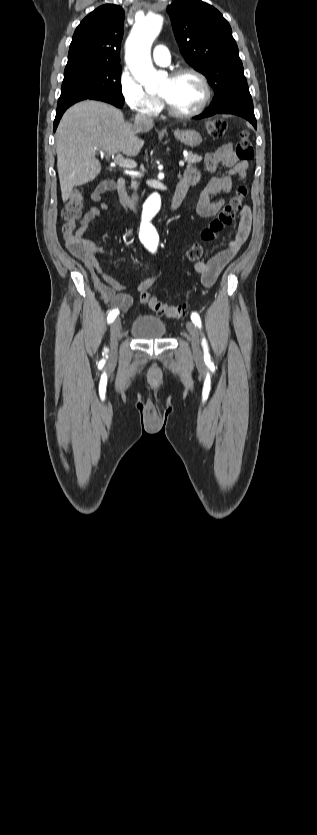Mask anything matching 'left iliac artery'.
<instances>
[{
    "label": "left iliac artery",
    "mask_w": 317,
    "mask_h": 835,
    "mask_svg": "<svg viewBox=\"0 0 317 835\" xmlns=\"http://www.w3.org/2000/svg\"><path fill=\"white\" fill-rule=\"evenodd\" d=\"M191 319H192L193 323L198 328H201V319H200V316L198 315L197 312H193L191 314ZM202 345H203V349H204V359H205V361H210V355H209V352H208V346H207V342H206L205 338L202 339Z\"/></svg>",
    "instance_id": "44dca946"
}]
</instances>
